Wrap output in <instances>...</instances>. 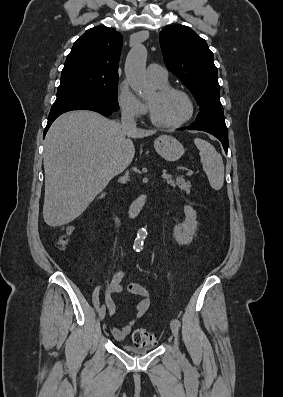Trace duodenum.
Wrapping results in <instances>:
<instances>
[{
    "mask_svg": "<svg viewBox=\"0 0 283 397\" xmlns=\"http://www.w3.org/2000/svg\"><path fill=\"white\" fill-rule=\"evenodd\" d=\"M105 198H106V193L102 192L99 195V200L104 203L105 202ZM146 200H147L146 196L145 195H141L132 203L131 208H130L131 217H133V218L136 217L142 211V209L144 208V206L146 204ZM106 209H107V212H108L110 218L116 224H119L120 223L119 216L112 209H110V208H106Z\"/></svg>",
    "mask_w": 283,
    "mask_h": 397,
    "instance_id": "410a0bca",
    "label": "duodenum"
}]
</instances>
